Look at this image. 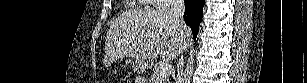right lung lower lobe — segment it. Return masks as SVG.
<instances>
[{"mask_svg":"<svg viewBox=\"0 0 307 83\" xmlns=\"http://www.w3.org/2000/svg\"><path fill=\"white\" fill-rule=\"evenodd\" d=\"M184 2V20L191 27L194 38H196L202 19V9L205 0H184Z\"/></svg>","mask_w":307,"mask_h":83,"instance_id":"right-lung-lower-lobe-1","label":"right lung lower lobe"}]
</instances>
